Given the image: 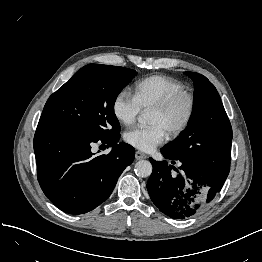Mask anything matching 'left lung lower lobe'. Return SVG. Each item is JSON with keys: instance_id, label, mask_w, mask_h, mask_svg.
Returning a JSON list of instances; mask_svg holds the SVG:
<instances>
[{"instance_id": "left-lung-lower-lobe-1", "label": "left lung lower lobe", "mask_w": 262, "mask_h": 262, "mask_svg": "<svg viewBox=\"0 0 262 262\" xmlns=\"http://www.w3.org/2000/svg\"><path fill=\"white\" fill-rule=\"evenodd\" d=\"M166 159L180 161L179 170L167 161L149 160L153 172L147 183L152 202L173 219H187L204 209L221 190L230 170V160L221 171L206 172L193 163L172 157L161 150ZM172 168L178 173L171 172Z\"/></svg>"}]
</instances>
